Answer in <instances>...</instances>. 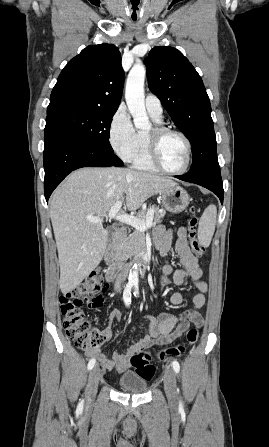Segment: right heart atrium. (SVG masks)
<instances>
[{
    "label": "right heart atrium",
    "instance_id": "obj_1",
    "mask_svg": "<svg viewBox=\"0 0 269 447\" xmlns=\"http://www.w3.org/2000/svg\"><path fill=\"white\" fill-rule=\"evenodd\" d=\"M108 141L115 153L130 161L137 143V131L128 111L122 107L113 114L108 128Z\"/></svg>",
    "mask_w": 269,
    "mask_h": 447
}]
</instances>
